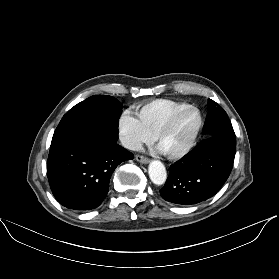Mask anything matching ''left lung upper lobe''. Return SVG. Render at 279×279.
<instances>
[{
  "instance_id": "left-lung-upper-lobe-1",
  "label": "left lung upper lobe",
  "mask_w": 279,
  "mask_h": 279,
  "mask_svg": "<svg viewBox=\"0 0 279 279\" xmlns=\"http://www.w3.org/2000/svg\"><path fill=\"white\" fill-rule=\"evenodd\" d=\"M203 132L211 137H224L229 140H236L235 133L226 112L211 99H209L208 102V114Z\"/></svg>"
}]
</instances>
